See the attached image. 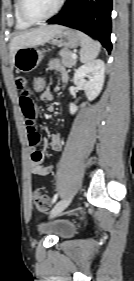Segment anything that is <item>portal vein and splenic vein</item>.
I'll return each instance as SVG.
<instances>
[{"label": "portal vein and splenic vein", "instance_id": "18ae733b", "mask_svg": "<svg viewBox=\"0 0 134 281\" xmlns=\"http://www.w3.org/2000/svg\"><path fill=\"white\" fill-rule=\"evenodd\" d=\"M73 59H77V55L75 53L72 54Z\"/></svg>", "mask_w": 134, "mask_h": 281}]
</instances>
